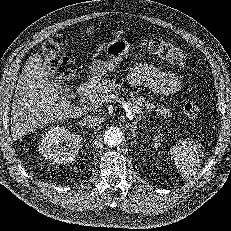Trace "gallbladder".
Instances as JSON below:
<instances>
[{
  "label": "gallbladder",
  "mask_w": 231,
  "mask_h": 231,
  "mask_svg": "<svg viewBox=\"0 0 231 231\" xmlns=\"http://www.w3.org/2000/svg\"><path fill=\"white\" fill-rule=\"evenodd\" d=\"M46 72L51 84L56 87L63 95H65L67 98L75 97L73 89L63 83L62 76L58 74L56 70H52L50 66H47Z\"/></svg>",
  "instance_id": "obj_1"
}]
</instances>
